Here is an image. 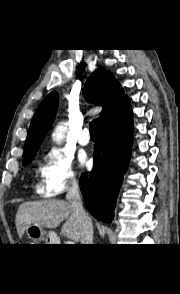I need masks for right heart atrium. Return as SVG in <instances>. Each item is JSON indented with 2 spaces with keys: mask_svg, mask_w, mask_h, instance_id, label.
Listing matches in <instances>:
<instances>
[{
  "mask_svg": "<svg viewBox=\"0 0 180 294\" xmlns=\"http://www.w3.org/2000/svg\"><path fill=\"white\" fill-rule=\"evenodd\" d=\"M40 192L45 197H57L78 186L72 158L61 149H51L39 166Z\"/></svg>",
  "mask_w": 180,
  "mask_h": 294,
  "instance_id": "obj_1",
  "label": "right heart atrium"
}]
</instances>
